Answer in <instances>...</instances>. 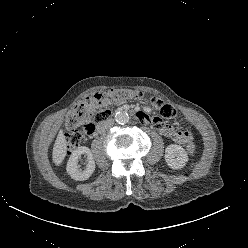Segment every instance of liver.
Masks as SVG:
<instances>
[{
	"mask_svg": "<svg viewBox=\"0 0 248 248\" xmlns=\"http://www.w3.org/2000/svg\"><path fill=\"white\" fill-rule=\"evenodd\" d=\"M66 152H67V142L65 140L63 131L60 130L53 147V153H52L53 162L56 165L62 163V161L66 156Z\"/></svg>",
	"mask_w": 248,
	"mask_h": 248,
	"instance_id": "1",
	"label": "liver"
}]
</instances>
